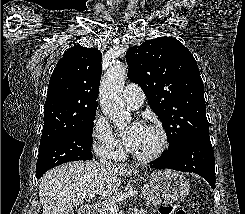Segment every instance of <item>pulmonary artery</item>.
Listing matches in <instances>:
<instances>
[{
  "label": "pulmonary artery",
  "instance_id": "1",
  "mask_svg": "<svg viewBox=\"0 0 245 214\" xmlns=\"http://www.w3.org/2000/svg\"><path fill=\"white\" fill-rule=\"evenodd\" d=\"M122 98L126 106L137 109L143 104L145 95L140 86L130 83L124 88Z\"/></svg>",
  "mask_w": 245,
  "mask_h": 214
}]
</instances>
